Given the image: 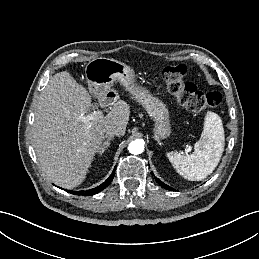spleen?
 Returning <instances> with one entry per match:
<instances>
[{
  "instance_id": "spleen-1",
  "label": "spleen",
  "mask_w": 259,
  "mask_h": 259,
  "mask_svg": "<svg viewBox=\"0 0 259 259\" xmlns=\"http://www.w3.org/2000/svg\"><path fill=\"white\" fill-rule=\"evenodd\" d=\"M225 135L221 118L208 111L200 139L195 143L192 154L169 152L167 157L173 167L185 179L200 181L217 167L224 151Z\"/></svg>"
}]
</instances>
